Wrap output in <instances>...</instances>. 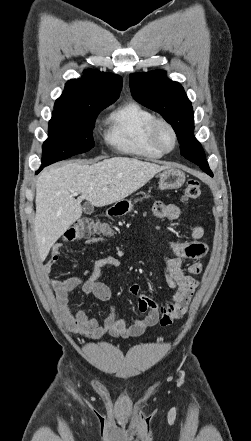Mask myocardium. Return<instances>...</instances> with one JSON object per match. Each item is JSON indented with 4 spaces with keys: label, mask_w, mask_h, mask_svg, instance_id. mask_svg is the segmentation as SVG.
Wrapping results in <instances>:
<instances>
[{
    "label": "myocardium",
    "mask_w": 251,
    "mask_h": 441,
    "mask_svg": "<svg viewBox=\"0 0 251 441\" xmlns=\"http://www.w3.org/2000/svg\"><path fill=\"white\" fill-rule=\"evenodd\" d=\"M161 128H167L173 136V145L171 148H165L160 141L159 133ZM149 139L151 144L163 154L173 151L178 144V134L173 124L165 118L156 117L149 130Z\"/></svg>",
    "instance_id": "f54148a6"
}]
</instances>
